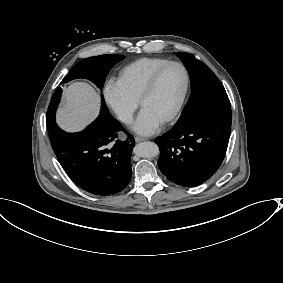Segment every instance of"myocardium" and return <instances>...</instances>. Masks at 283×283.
Wrapping results in <instances>:
<instances>
[{
	"mask_svg": "<svg viewBox=\"0 0 283 283\" xmlns=\"http://www.w3.org/2000/svg\"><path fill=\"white\" fill-rule=\"evenodd\" d=\"M173 65H178L182 68L183 72H184V76H185V84H184V88L182 91V94L178 100V103L176 105V107L174 108V110L166 117L162 120L163 123H167L172 121L173 119H175L179 113L181 112L183 105L185 103L189 88H190V73L189 70L187 68V66L180 62V61H170L164 65H162L161 67H159L158 69H156L146 80L144 87L142 89V92L139 96L138 99V103L141 106L142 102L153 92L154 87L158 81V79L160 78V76L171 66Z\"/></svg>",
	"mask_w": 283,
	"mask_h": 283,
	"instance_id": "obj_1",
	"label": "myocardium"
}]
</instances>
